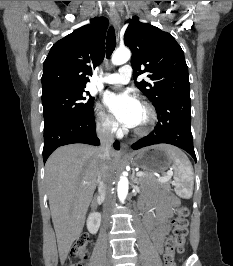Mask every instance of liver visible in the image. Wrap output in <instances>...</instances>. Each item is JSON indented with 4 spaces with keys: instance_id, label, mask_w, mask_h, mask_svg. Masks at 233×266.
<instances>
[{
    "instance_id": "liver-1",
    "label": "liver",
    "mask_w": 233,
    "mask_h": 266,
    "mask_svg": "<svg viewBox=\"0 0 233 266\" xmlns=\"http://www.w3.org/2000/svg\"><path fill=\"white\" fill-rule=\"evenodd\" d=\"M119 159L120 153L111 150L107 165L113 176ZM99 169L98 148L85 144L59 147L46 162L45 181L62 264L83 230Z\"/></svg>"
}]
</instances>
